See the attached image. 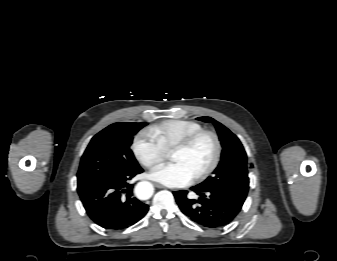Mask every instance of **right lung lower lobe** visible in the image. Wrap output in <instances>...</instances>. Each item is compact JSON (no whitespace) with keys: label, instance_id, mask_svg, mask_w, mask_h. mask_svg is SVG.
Listing matches in <instances>:
<instances>
[{"label":"right lung lower lobe","instance_id":"98d812e1","mask_svg":"<svg viewBox=\"0 0 337 261\" xmlns=\"http://www.w3.org/2000/svg\"><path fill=\"white\" fill-rule=\"evenodd\" d=\"M143 169L99 183L79 192L88 216L99 226L110 230L125 229L147 213L148 205L133 196L129 181Z\"/></svg>","mask_w":337,"mask_h":261}]
</instances>
